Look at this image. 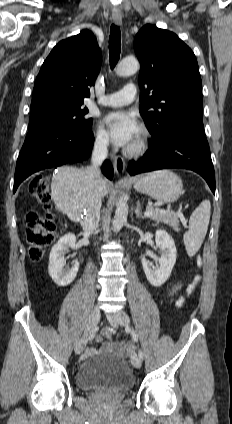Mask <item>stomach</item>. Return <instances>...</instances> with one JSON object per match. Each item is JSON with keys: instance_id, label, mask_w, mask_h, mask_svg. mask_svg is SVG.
<instances>
[{"instance_id": "obj_1", "label": "stomach", "mask_w": 232, "mask_h": 424, "mask_svg": "<svg viewBox=\"0 0 232 424\" xmlns=\"http://www.w3.org/2000/svg\"><path fill=\"white\" fill-rule=\"evenodd\" d=\"M134 188L162 203H173L183 193L181 179L170 170L145 174L134 181Z\"/></svg>"}]
</instances>
